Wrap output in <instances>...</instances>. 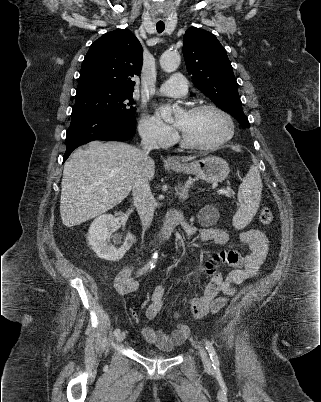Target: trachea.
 <instances>
[{"mask_svg":"<svg viewBox=\"0 0 321 402\" xmlns=\"http://www.w3.org/2000/svg\"><path fill=\"white\" fill-rule=\"evenodd\" d=\"M156 29H157L158 33H162L165 29V24H163V23L156 24Z\"/></svg>","mask_w":321,"mask_h":402,"instance_id":"1","label":"trachea"}]
</instances>
